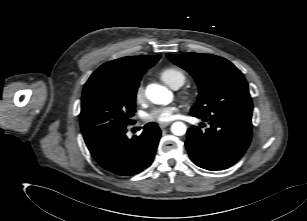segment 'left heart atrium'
Returning a JSON list of instances; mask_svg holds the SVG:
<instances>
[{
  "label": "left heart atrium",
  "instance_id": "39dd6f15",
  "mask_svg": "<svg viewBox=\"0 0 307 221\" xmlns=\"http://www.w3.org/2000/svg\"><path fill=\"white\" fill-rule=\"evenodd\" d=\"M177 111L175 106L156 107L146 115V120L157 123L170 122L175 118Z\"/></svg>",
  "mask_w": 307,
  "mask_h": 221
}]
</instances>
